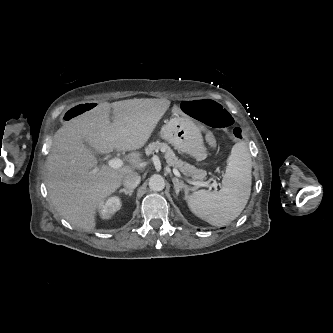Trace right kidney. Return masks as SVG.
<instances>
[{"instance_id":"ca27d5eb","label":"right kidney","mask_w":333,"mask_h":333,"mask_svg":"<svg viewBox=\"0 0 333 333\" xmlns=\"http://www.w3.org/2000/svg\"><path fill=\"white\" fill-rule=\"evenodd\" d=\"M121 200L118 197H110L105 202L100 203L99 213L103 219H109L121 208Z\"/></svg>"}]
</instances>
